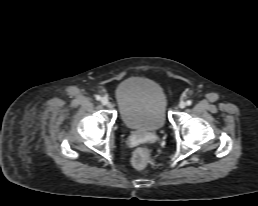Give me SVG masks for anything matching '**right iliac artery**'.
<instances>
[{"mask_svg":"<svg viewBox=\"0 0 258 206\" xmlns=\"http://www.w3.org/2000/svg\"><path fill=\"white\" fill-rule=\"evenodd\" d=\"M95 98H96V100H100L101 99L100 95H96Z\"/></svg>","mask_w":258,"mask_h":206,"instance_id":"1","label":"right iliac artery"}]
</instances>
